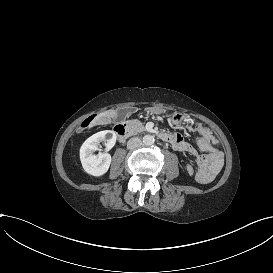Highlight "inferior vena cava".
<instances>
[{"mask_svg": "<svg viewBox=\"0 0 273 273\" xmlns=\"http://www.w3.org/2000/svg\"><path fill=\"white\" fill-rule=\"evenodd\" d=\"M141 144H142V141L139 138L133 137V138H130L129 141L127 142V148L135 149L141 146Z\"/></svg>", "mask_w": 273, "mask_h": 273, "instance_id": "1", "label": "inferior vena cava"}]
</instances>
